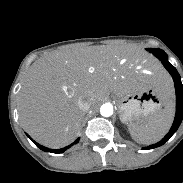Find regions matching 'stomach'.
Here are the masks:
<instances>
[{
  "mask_svg": "<svg viewBox=\"0 0 183 183\" xmlns=\"http://www.w3.org/2000/svg\"><path fill=\"white\" fill-rule=\"evenodd\" d=\"M116 97L121 121L129 124L137 123L157 112L166 102L156 87L146 86L145 82L138 81H134L130 92Z\"/></svg>",
  "mask_w": 183,
  "mask_h": 183,
  "instance_id": "1",
  "label": "stomach"
}]
</instances>
